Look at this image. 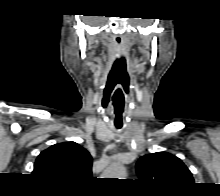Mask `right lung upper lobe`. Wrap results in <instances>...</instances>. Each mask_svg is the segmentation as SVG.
I'll return each instance as SVG.
<instances>
[{"label": "right lung upper lobe", "instance_id": "cb5924a9", "mask_svg": "<svg viewBox=\"0 0 220 196\" xmlns=\"http://www.w3.org/2000/svg\"><path fill=\"white\" fill-rule=\"evenodd\" d=\"M92 157L75 142L52 145L38 156L33 174L65 185L80 184L92 178Z\"/></svg>", "mask_w": 220, "mask_h": 196}]
</instances>
